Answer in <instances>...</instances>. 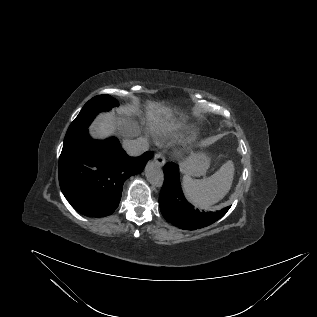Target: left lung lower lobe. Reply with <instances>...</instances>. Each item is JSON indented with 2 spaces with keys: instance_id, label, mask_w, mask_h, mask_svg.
Listing matches in <instances>:
<instances>
[{
  "instance_id": "obj_1",
  "label": "left lung lower lobe",
  "mask_w": 317,
  "mask_h": 317,
  "mask_svg": "<svg viewBox=\"0 0 317 317\" xmlns=\"http://www.w3.org/2000/svg\"><path fill=\"white\" fill-rule=\"evenodd\" d=\"M164 218L173 225L187 230L206 227L223 217L230 206L218 212L205 213L195 209L184 197L179 180L178 165L167 163L164 167V184L159 197Z\"/></svg>"
}]
</instances>
